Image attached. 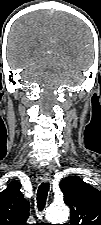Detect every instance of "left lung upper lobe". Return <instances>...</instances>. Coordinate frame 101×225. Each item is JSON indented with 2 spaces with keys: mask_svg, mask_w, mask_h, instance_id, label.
I'll use <instances>...</instances> for the list:
<instances>
[{
  "mask_svg": "<svg viewBox=\"0 0 101 225\" xmlns=\"http://www.w3.org/2000/svg\"><path fill=\"white\" fill-rule=\"evenodd\" d=\"M64 202L71 209L68 225H101V192L76 176L61 181Z\"/></svg>",
  "mask_w": 101,
  "mask_h": 225,
  "instance_id": "5c2ea615",
  "label": "left lung upper lobe"
}]
</instances>
